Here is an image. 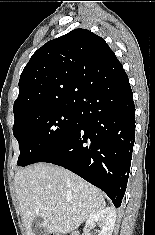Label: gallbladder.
<instances>
[{"instance_id": "obj_1", "label": "gallbladder", "mask_w": 155, "mask_h": 235, "mask_svg": "<svg viewBox=\"0 0 155 235\" xmlns=\"http://www.w3.org/2000/svg\"><path fill=\"white\" fill-rule=\"evenodd\" d=\"M42 218L35 217L33 220V231L34 235H48L46 229L42 226Z\"/></svg>"}]
</instances>
